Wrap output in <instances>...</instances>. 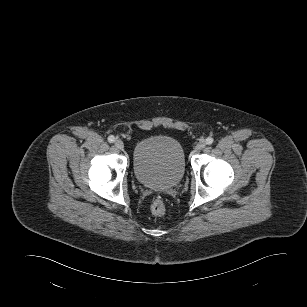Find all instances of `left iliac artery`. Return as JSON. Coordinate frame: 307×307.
<instances>
[{"instance_id":"1","label":"left iliac artery","mask_w":307,"mask_h":307,"mask_svg":"<svg viewBox=\"0 0 307 307\" xmlns=\"http://www.w3.org/2000/svg\"><path fill=\"white\" fill-rule=\"evenodd\" d=\"M214 139L212 137H208L206 139V144L211 145L213 143Z\"/></svg>"}]
</instances>
